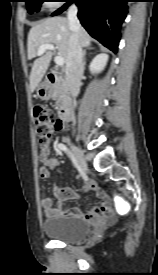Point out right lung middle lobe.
Wrapping results in <instances>:
<instances>
[{
	"label": "right lung middle lobe",
	"instance_id": "1",
	"mask_svg": "<svg viewBox=\"0 0 158 275\" xmlns=\"http://www.w3.org/2000/svg\"><path fill=\"white\" fill-rule=\"evenodd\" d=\"M27 3V10L31 14L40 10L42 3L45 0H25Z\"/></svg>",
	"mask_w": 158,
	"mask_h": 275
}]
</instances>
